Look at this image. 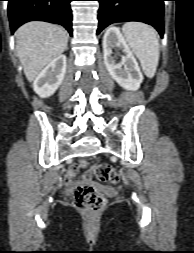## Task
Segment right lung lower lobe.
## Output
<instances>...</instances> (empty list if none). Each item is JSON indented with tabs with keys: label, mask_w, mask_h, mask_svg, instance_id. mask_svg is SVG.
Listing matches in <instances>:
<instances>
[{
	"label": "right lung lower lobe",
	"mask_w": 194,
	"mask_h": 253,
	"mask_svg": "<svg viewBox=\"0 0 194 253\" xmlns=\"http://www.w3.org/2000/svg\"><path fill=\"white\" fill-rule=\"evenodd\" d=\"M72 0H8L11 32L28 21H46L64 26L72 35Z\"/></svg>",
	"instance_id": "98d812e1"
}]
</instances>
